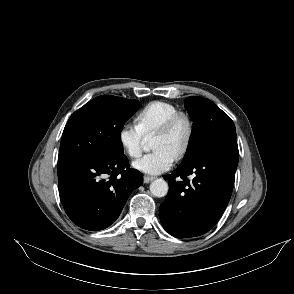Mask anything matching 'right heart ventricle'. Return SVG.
<instances>
[{"instance_id":"e07e8e85","label":"right heart ventricle","mask_w":294,"mask_h":294,"mask_svg":"<svg viewBox=\"0 0 294 294\" xmlns=\"http://www.w3.org/2000/svg\"><path fill=\"white\" fill-rule=\"evenodd\" d=\"M180 113L179 109L165 101H152L145 105L136 116V123L145 137L155 131L170 117Z\"/></svg>"}]
</instances>
